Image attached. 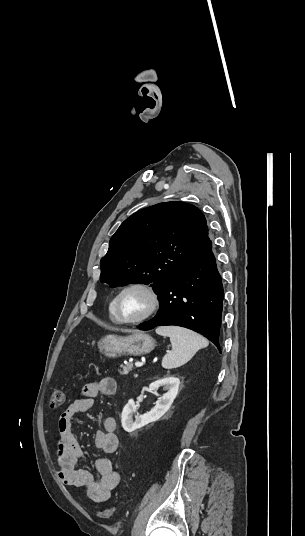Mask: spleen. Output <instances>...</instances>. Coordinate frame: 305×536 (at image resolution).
Listing matches in <instances>:
<instances>
[{"instance_id": "obj_1", "label": "spleen", "mask_w": 305, "mask_h": 536, "mask_svg": "<svg viewBox=\"0 0 305 536\" xmlns=\"http://www.w3.org/2000/svg\"><path fill=\"white\" fill-rule=\"evenodd\" d=\"M156 334L167 336L172 344L171 352H168L162 360V368L173 370L187 364L198 350L207 348L209 342L203 336L195 334L192 330L179 328V326H161L156 328Z\"/></svg>"}]
</instances>
